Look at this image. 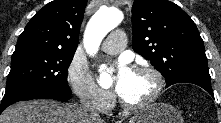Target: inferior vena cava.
<instances>
[{"label": "inferior vena cava", "instance_id": "1", "mask_svg": "<svg viewBox=\"0 0 221 123\" xmlns=\"http://www.w3.org/2000/svg\"><path fill=\"white\" fill-rule=\"evenodd\" d=\"M80 110L82 111V113L84 115V118H86L88 120H97V119H99L98 112L89 103L83 102L80 106Z\"/></svg>", "mask_w": 221, "mask_h": 123}]
</instances>
